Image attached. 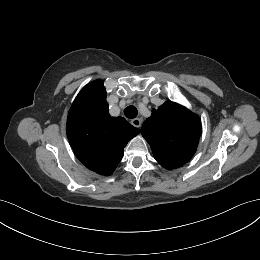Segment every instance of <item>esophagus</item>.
Segmentation results:
<instances>
[{"label":"esophagus","mask_w":260,"mask_h":260,"mask_svg":"<svg viewBox=\"0 0 260 260\" xmlns=\"http://www.w3.org/2000/svg\"><path fill=\"white\" fill-rule=\"evenodd\" d=\"M131 124L137 128H140L142 125V120L139 118L132 119Z\"/></svg>","instance_id":"34e87169"}]
</instances>
